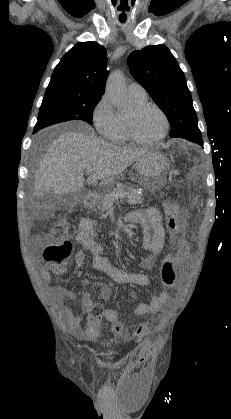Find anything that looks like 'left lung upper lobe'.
Returning <instances> with one entry per match:
<instances>
[{
  "instance_id": "left-lung-upper-lobe-1",
  "label": "left lung upper lobe",
  "mask_w": 231,
  "mask_h": 419,
  "mask_svg": "<svg viewBox=\"0 0 231 419\" xmlns=\"http://www.w3.org/2000/svg\"><path fill=\"white\" fill-rule=\"evenodd\" d=\"M128 66L134 78L166 113L171 138L201 136L191 93L178 62L164 45L133 51Z\"/></svg>"
}]
</instances>
